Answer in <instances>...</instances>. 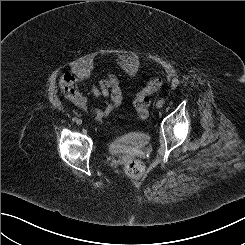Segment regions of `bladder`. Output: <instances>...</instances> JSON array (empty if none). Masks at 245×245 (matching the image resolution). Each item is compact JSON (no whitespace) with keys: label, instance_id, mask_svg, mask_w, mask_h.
<instances>
[{"label":"bladder","instance_id":"obj_1","mask_svg":"<svg viewBox=\"0 0 245 245\" xmlns=\"http://www.w3.org/2000/svg\"><path fill=\"white\" fill-rule=\"evenodd\" d=\"M145 139V134L139 131H129L112 138L109 143L111 153L116 155H130Z\"/></svg>","mask_w":245,"mask_h":245}]
</instances>
